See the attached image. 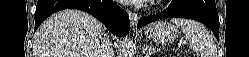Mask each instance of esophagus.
I'll use <instances>...</instances> for the list:
<instances>
[{
	"label": "esophagus",
	"mask_w": 249,
	"mask_h": 57,
	"mask_svg": "<svg viewBox=\"0 0 249 57\" xmlns=\"http://www.w3.org/2000/svg\"><path fill=\"white\" fill-rule=\"evenodd\" d=\"M129 18H130L131 26L134 27L139 20V15L137 13L130 11Z\"/></svg>",
	"instance_id": "obj_1"
}]
</instances>
